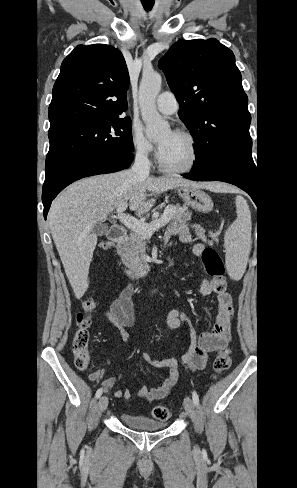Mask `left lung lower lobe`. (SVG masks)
Returning <instances> with one entry per match:
<instances>
[{"label":"left lung lower lobe","mask_w":297,"mask_h":488,"mask_svg":"<svg viewBox=\"0 0 297 488\" xmlns=\"http://www.w3.org/2000/svg\"><path fill=\"white\" fill-rule=\"evenodd\" d=\"M182 176L194 181H223L236 185L249 193L253 201L257 203L256 175L244 167L235 164H216L200 170L192 169L190 173Z\"/></svg>","instance_id":"obj_1"}]
</instances>
